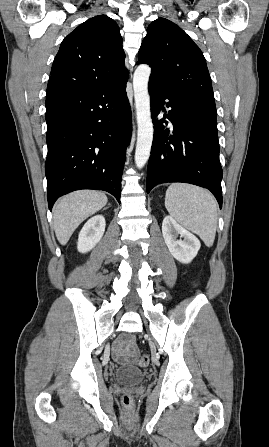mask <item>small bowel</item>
<instances>
[{"instance_id":"1","label":"small bowel","mask_w":269,"mask_h":447,"mask_svg":"<svg viewBox=\"0 0 269 447\" xmlns=\"http://www.w3.org/2000/svg\"><path fill=\"white\" fill-rule=\"evenodd\" d=\"M124 337L126 339L135 340L137 339L138 334L135 331L126 332L125 334H122L119 341L114 344L112 348L113 358L120 364L128 363L140 357L133 349V345L126 344Z\"/></svg>"}]
</instances>
